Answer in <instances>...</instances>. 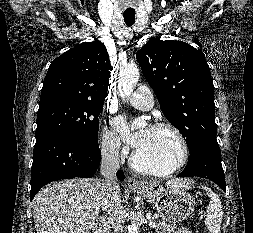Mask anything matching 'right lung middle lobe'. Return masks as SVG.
Masks as SVG:
<instances>
[{
  "label": "right lung middle lobe",
  "mask_w": 253,
  "mask_h": 233,
  "mask_svg": "<svg viewBox=\"0 0 253 233\" xmlns=\"http://www.w3.org/2000/svg\"><path fill=\"white\" fill-rule=\"evenodd\" d=\"M103 102L52 99L40 103L36 139L63 136L86 145L98 146V116Z\"/></svg>",
  "instance_id": "1"
}]
</instances>
